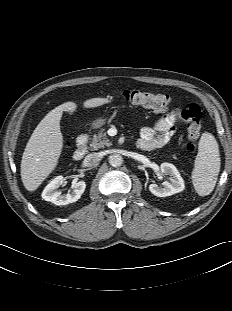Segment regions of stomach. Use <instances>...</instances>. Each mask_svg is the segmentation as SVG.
Wrapping results in <instances>:
<instances>
[{"mask_svg":"<svg viewBox=\"0 0 232 311\" xmlns=\"http://www.w3.org/2000/svg\"><path fill=\"white\" fill-rule=\"evenodd\" d=\"M105 123V119H98L93 122L92 127L93 128H99Z\"/></svg>","mask_w":232,"mask_h":311,"instance_id":"0dacf381","label":"stomach"}]
</instances>
